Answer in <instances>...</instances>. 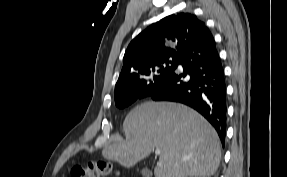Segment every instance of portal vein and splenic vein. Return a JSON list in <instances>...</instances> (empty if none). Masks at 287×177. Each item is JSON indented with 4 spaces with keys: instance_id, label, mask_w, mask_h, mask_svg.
Segmentation results:
<instances>
[{
    "instance_id": "portal-vein-and-splenic-vein-1",
    "label": "portal vein and splenic vein",
    "mask_w": 287,
    "mask_h": 177,
    "mask_svg": "<svg viewBox=\"0 0 287 177\" xmlns=\"http://www.w3.org/2000/svg\"><path fill=\"white\" fill-rule=\"evenodd\" d=\"M160 153H161L160 149H156V150H155V154H156V155H160Z\"/></svg>"
}]
</instances>
